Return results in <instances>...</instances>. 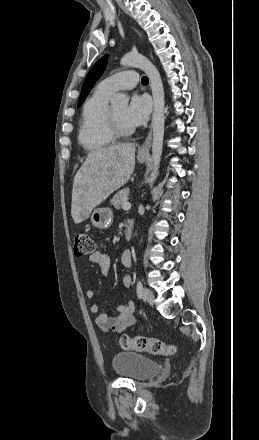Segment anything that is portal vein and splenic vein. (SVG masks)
<instances>
[{"label": "portal vein and splenic vein", "instance_id": "18ae733b", "mask_svg": "<svg viewBox=\"0 0 259 440\" xmlns=\"http://www.w3.org/2000/svg\"><path fill=\"white\" fill-rule=\"evenodd\" d=\"M123 210H129L131 208V204L129 202H125L122 205Z\"/></svg>", "mask_w": 259, "mask_h": 440}]
</instances>
